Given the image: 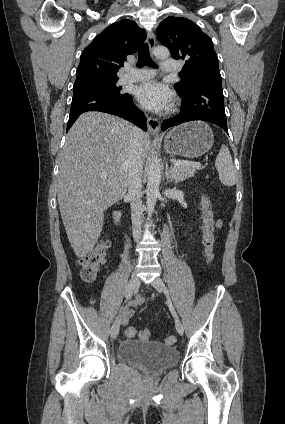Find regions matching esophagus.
<instances>
[{
  "label": "esophagus",
  "mask_w": 285,
  "mask_h": 424,
  "mask_svg": "<svg viewBox=\"0 0 285 424\" xmlns=\"http://www.w3.org/2000/svg\"><path fill=\"white\" fill-rule=\"evenodd\" d=\"M147 42L149 45V49L151 53L153 54L154 48L156 45L155 36L153 33L151 32L148 33ZM147 126H148V131L150 134L158 135L160 130V121L157 118L147 117Z\"/></svg>",
  "instance_id": "34e87169"
}]
</instances>
